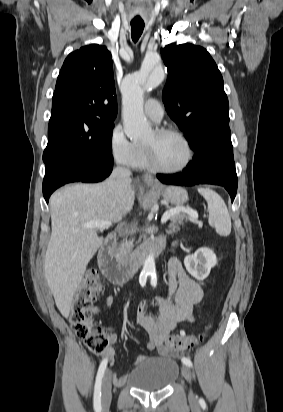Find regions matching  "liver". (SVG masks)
Returning <instances> with one entry per match:
<instances>
[{
    "label": "liver",
    "mask_w": 283,
    "mask_h": 412,
    "mask_svg": "<svg viewBox=\"0 0 283 412\" xmlns=\"http://www.w3.org/2000/svg\"><path fill=\"white\" fill-rule=\"evenodd\" d=\"M135 190L131 179H111L100 184L66 186L50 198L52 232L44 259V273L55 303L68 317L74 293L88 262L103 242L91 221H120L131 211Z\"/></svg>",
    "instance_id": "liver-1"
}]
</instances>
